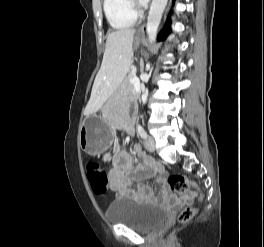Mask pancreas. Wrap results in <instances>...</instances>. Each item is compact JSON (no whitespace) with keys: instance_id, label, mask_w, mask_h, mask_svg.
Here are the masks:
<instances>
[{"instance_id":"obj_1","label":"pancreas","mask_w":264,"mask_h":247,"mask_svg":"<svg viewBox=\"0 0 264 247\" xmlns=\"http://www.w3.org/2000/svg\"><path fill=\"white\" fill-rule=\"evenodd\" d=\"M133 76L134 74L130 73L126 80L120 85L119 94L121 96L131 95L134 98V86L129 82V79Z\"/></svg>"}]
</instances>
